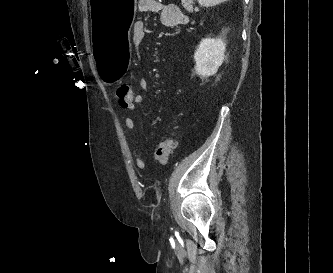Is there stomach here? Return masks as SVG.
<instances>
[{"mask_svg": "<svg viewBox=\"0 0 333 273\" xmlns=\"http://www.w3.org/2000/svg\"><path fill=\"white\" fill-rule=\"evenodd\" d=\"M136 0H91V32L94 44L90 51L96 59L98 81H123L131 65L129 32L135 23Z\"/></svg>", "mask_w": 333, "mask_h": 273, "instance_id": "obj_1", "label": "stomach"}]
</instances>
